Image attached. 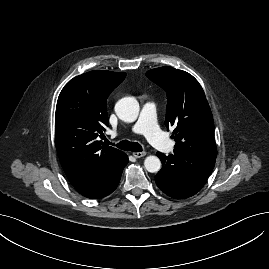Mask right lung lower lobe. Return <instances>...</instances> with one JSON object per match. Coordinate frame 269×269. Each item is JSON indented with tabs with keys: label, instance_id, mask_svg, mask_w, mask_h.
Segmentation results:
<instances>
[{
	"label": "right lung lower lobe",
	"instance_id": "obj_1",
	"mask_svg": "<svg viewBox=\"0 0 269 269\" xmlns=\"http://www.w3.org/2000/svg\"><path fill=\"white\" fill-rule=\"evenodd\" d=\"M128 163L125 156L110 171L99 178L90 180L84 184L74 186L75 189L88 198L99 199L112 193L118 186L122 171Z\"/></svg>",
	"mask_w": 269,
	"mask_h": 269
}]
</instances>
